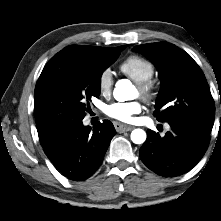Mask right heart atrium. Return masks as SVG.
Masks as SVG:
<instances>
[{
  "instance_id": "obj_1",
  "label": "right heart atrium",
  "mask_w": 221,
  "mask_h": 221,
  "mask_svg": "<svg viewBox=\"0 0 221 221\" xmlns=\"http://www.w3.org/2000/svg\"><path fill=\"white\" fill-rule=\"evenodd\" d=\"M99 90L102 94L110 93L113 86V76L109 69L103 70L98 78Z\"/></svg>"
}]
</instances>
